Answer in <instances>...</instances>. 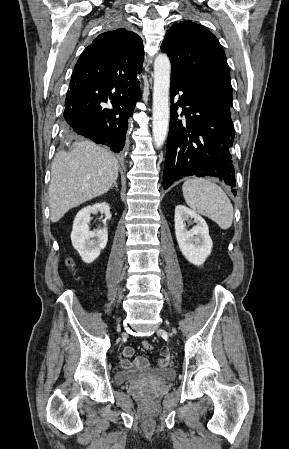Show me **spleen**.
Wrapping results in <instances>:
<instances>
[{"label": "spleen", "instance_id": "obj_1", "mask_svg": "<svg viewBox=\"0 0 289 449\" xmlns=\"http://www.w3.org/2000/svg\"><path fill=\"white\" fill-rule=\"evenodd\" d=\"M187 205L227 230L233 221V206L223 189L204 178L187 179L182 186Z\"/></svg>", "mask_w": 289, "mask_h": 449}]
</instances>
